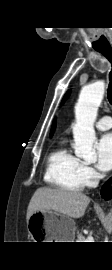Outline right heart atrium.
<instances>
[{
  "label": "right heart atrium",
  "instance_id": "d8ad5b80",
  "mask_svg": "<svg viewBox=\"0 0 112 270\" xmlns=\"http://www.w3.org/2000/svg\"><path fill=\"white\" fill-rule=\"evenodd\" d=\"M81 175L84 185L91 186L95 183L98 174L92 166L87 163L82 162L81 164Z\"/></svg>",
  "mask_w": 112,
  "mask_h": 270
}]
</instances>
